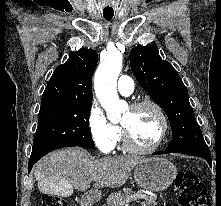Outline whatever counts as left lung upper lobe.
I'll return each instance as SVG.
<instances>
[{
  "label": "left lung upper lobe",
  "instance_id": "5c2ea615",
  "mask_svg": "<svg viewBox=\"0 0 221 206\" xmlns=\"http://www.w3.org/2000/svg\"><path fill=\"white\" fill-rule=\"evenodd\" d=\"M135 78L168 116L173 137L166 150L208 152L202 132L189 103L188 91L179 74L163 61L156 45L138 46L130 52Z\"/></svg>",
  "mask_w": 221,
  "mask_h": 206
}]
</instances>
